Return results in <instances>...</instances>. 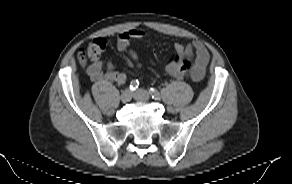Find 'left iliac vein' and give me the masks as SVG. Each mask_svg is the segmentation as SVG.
<instances>
[{"label":"left iliac vein","mask_w":292,"mask_h":184,"mask_svg":"<svg viewBox=\"0 0 292 184\" xmlns=\"http://www.w3.org/2000/svg\"><path fill=\"white\" fill-rule=\"evenodd\" d=\"M133 97L139 102H147L150 99V93L144 89H138L133 93Z\"/></svg>","instance_id":"4c4485c4"}]
</instances>
